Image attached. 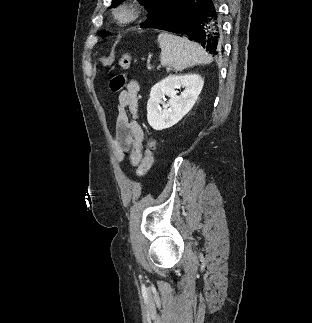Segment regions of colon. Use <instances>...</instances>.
<instances>
[{
	"label": "colon",
	"mask_w": 312,
	"mask_h": 323,
	"mask_svg": "<svg viewBox=\"0 0 312 323\" xmlns=\"http://www.w3.org/2000/svg\"><path fill=\"white\" fill-rule=\"evenodd\" d=\"M119 67L123 70H127L130 66V57L128 54H121L118 61ZM126 79L122 72L114 74L108 82V88L111 93L119 94L125 87ZM155 142L153 139H149L142 162L137 169V176H145L154 162Z\"/></svg>",
	"instance_id": "obj_1"
}]
</instances>
